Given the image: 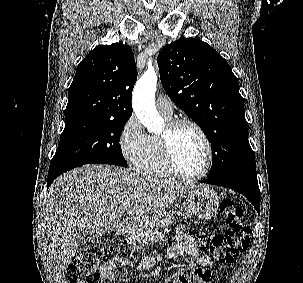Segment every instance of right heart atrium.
Listing matches in <instances>:
<instances>
[{"label": "right heart atrium", "mask_w": 303, "mask_h": 283, "mask_svg": "<svg viewBox=\"0 0 303 283\" xmlns=\"http://www.w3.org/2000/svg\"><path fill=\"white\" fill-rule=\"evenodd\" d=\"M121 153L130 165H136L147 150L149 135L135 115H131L119 133Z\"/></svg>", "instance_id": "d8ad5b80"}]
</instances>
